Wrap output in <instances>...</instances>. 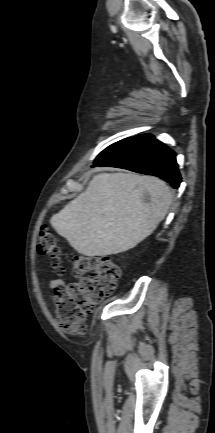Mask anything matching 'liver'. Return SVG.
Here are the masks:
<instances>
[{
  "label": "liver",
  "mask_w": 215,
  "mask_h": 433,
  "mask_svg": "<svg viewBox=\"0 0 215 433\" xmlns=\"http://www.w3.org/2000/svg\"><path fill=\"white\" fill-rule=\"evenodd\" d=\"M171 202L169 187L157 177L101 173L50 223L78 253L107 256L132 249L151 235Z\"/></svg>",
  "instance_id": "6515ba94"
}]
</instances>
